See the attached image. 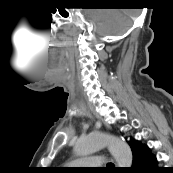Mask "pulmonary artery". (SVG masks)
I'll list each match as a JSON object with an SVG mask.
<instances>
[{
	"mask_svg": "<svg viewBox=\"0 0 173 173\" xmlns=\"http://www.w3.org/2000/svg\"><path fill=\"white\" fill-rule=\"evenodd\" d=\"M74 166H82L86 168H95L98 166H102L104 164V160L102 157L91 156L84 157L72 162Z\"/></svg>",
	"mask_w": 173,
	"mask_h": 173,
	"instance_id": "1",
	"label": "pulmonary artery"
}]
</instances>
